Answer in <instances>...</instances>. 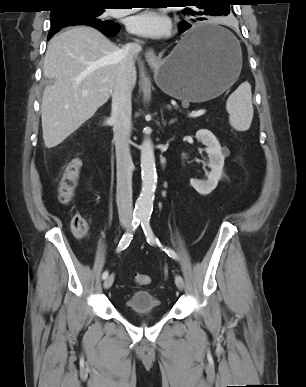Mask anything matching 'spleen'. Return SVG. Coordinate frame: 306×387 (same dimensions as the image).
Masks as SVG:
<instances>
[{
  "instance_id": "spleen-1",
  "label": "spleen",
  "mask_w": 306,
  "mask_h": 387,
  "mask_svg": "<svg viewBox=\"0 0 306 387\" xmlns=\"http://www.w3.org/2000/svg\"><path fill=\"white\" fill-rule=\"evenodd\" d=\"M226 110L229 113V123L237 131L250 128L253 119L251 86L242 83L228 98Z\"/></svg>"
}]
</instances>
